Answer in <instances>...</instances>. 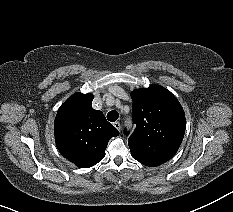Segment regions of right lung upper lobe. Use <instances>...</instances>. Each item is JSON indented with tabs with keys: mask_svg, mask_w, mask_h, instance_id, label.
<instances>
[{
	"mask_svg": "<svg viewBox=\"0 0 233 212\" xmlns=\"http://www.w3.org/2000/svg\"><path fill=\"white\" fill-rule=\"evenodd\" d=\"M92 100L90 93L73 94L59 108L54 122L58 150L81 168L101 161L110 138L119 135L103 113L92 108Z\"/></svg>",
	"mask_w": 233,
	"mask_h": 212,
	"instance_id": "cb5924a9",
	"label": "right lung upper lobe"
}]
</instances>
